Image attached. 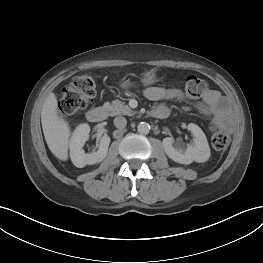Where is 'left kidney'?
Here are the masks:
<instances>
[{"label":"left kidney","mask_w":263,"mask_h":263,"mask_svg":"<svg viewBox=\"0 0 263 263\" xmlns=\"http://www.w3.org/2000/svg\"><path fill=\"white\" fill-rule=\"evenodd\" d=\"M187 129L193 135V144H189L186 150L178 149L173 146L174 139L166 137L163 139V148L167 156L180 164H191L195 162H205L210 157V148L207 138L202 129L193 123L188 124Z\"/></svg>","instance_id":"5707ae66"}]
</instances>
